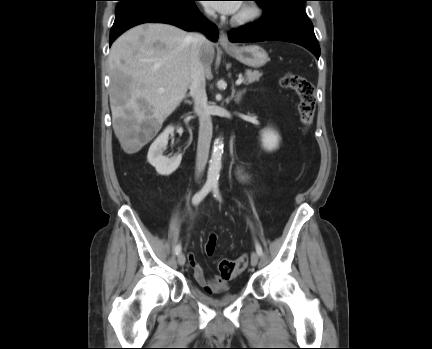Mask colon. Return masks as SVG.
I'll return each mask as SVG.
<instances>
[{
	"instance_id": "5ec220e1",
	"label": "colon",
	"mask_w": 432,
	"mask_h": 349,
	"mask_svg": "<svg viewBox=\"0 0 432 349\" xmlns=\"http://www.w3.org/2000/svg\"><path fill=\"white\" fill-rule=\"evenodd\" d=\"M283 88L293 90L298 98V112L302 125L308 128L314 119L316 107V95L313 84L305 77L286 73L280 79ZM217 245V237L212 234L209 236L205 251L207 255L212 256ZM248 266V256L242 255L236 260L222 259L218 263L220 277L223 280H232L241 274Z\"/></svg>"
}]
</instances>
